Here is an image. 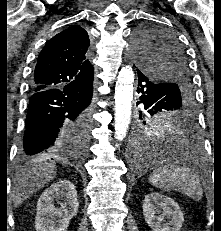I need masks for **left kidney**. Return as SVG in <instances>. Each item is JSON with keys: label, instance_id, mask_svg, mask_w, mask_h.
Instances as JSON below:
<instances>
[{"label": "left kidney", "instance_id": "5707ae66", "mask_svg": "<svg viewBox=\"0 0 221 231\" xmlns=\"http://www.w3.org/2000/svg\"><path fill=\"white\" fill-rule=\"evenodd\" d=\"M142 207L145 221L153 231H180L184 215L172 198L151 193L145 197Z\"/></svg>", "mask_w": 221, "mask_h": 231}]
</instances>
